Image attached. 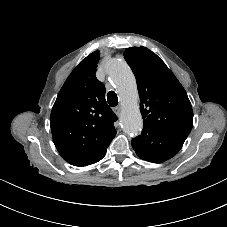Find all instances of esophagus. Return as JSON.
<instances>
[{
  "label": "esophagus",
  "instance_id": "1",
  "mask_svg": "<svg viewBox=\"0 0 227 227\" xmlns=\"http://www.w3.org/2000/svg\"><path fill=\"white\" fill-rule=\"evenodd\" d=\"M114 113H115L117 116H119L120 113H121V108H120V107H115V108H114Z\"/></svg>",
  "mask_w": 227,
  "mask_h": 227
}]
</instances>
